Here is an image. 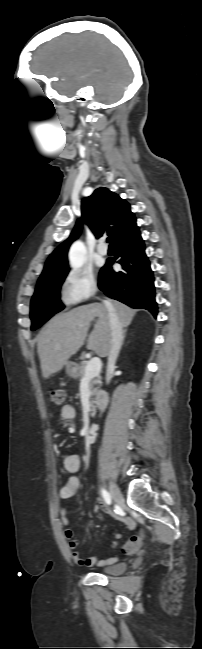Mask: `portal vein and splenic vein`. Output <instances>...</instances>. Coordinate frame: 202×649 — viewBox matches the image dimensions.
Here are the masks:
<instances>
[{
  "mask_svg": "<svg viewBox=\"0 0 202 649\" xmlns=\"http://www.w3.org/2000/svg\"><path fill=\"white\" fill-rule=\"evenodd\" d=\"M101 368L102 362L100 358H92L85 367L84 379H92L93 377L97 376L100 373Z\"/></svg>",
  "mask_w": 202,
  "mask_h": 649,
  "instance_id": "obj_1",
  "label": "portal vein and splenic vein"
}]
</instances>
